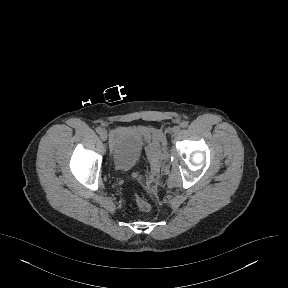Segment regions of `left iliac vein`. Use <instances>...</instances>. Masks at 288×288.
<instances>
[{
	"instance_id": "left-iliac-vein-1",
	"label": "left iliac vein",
	"mask_w": 288,
	"mask_h": 288,
	"mask_svg": "<svg viewBox=\"0 0 288 288\" xmlns=\"http://www.w3.org/2000/svg\"><path fill=\"white\" fill-rule=\"evenodd\" d=\"M180 131V126H174L172 128V133L177 134Z\"/></svg>"
}]
</instances>
